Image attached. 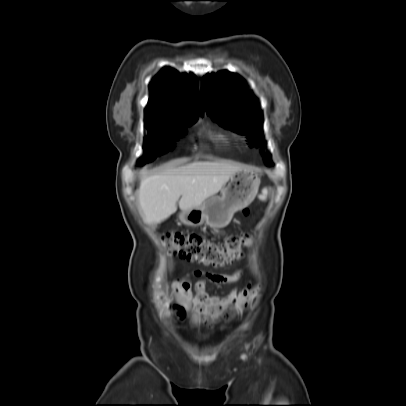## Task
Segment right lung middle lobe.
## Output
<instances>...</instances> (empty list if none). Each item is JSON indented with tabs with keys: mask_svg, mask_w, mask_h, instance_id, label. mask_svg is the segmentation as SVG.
<instances>
[{
	"mask_svg": "<svg viewBox=\"0 0 406 406\" xmlns=\"http://www.w3.org/2000/svg\"><path fill=\"white\" fill-rule=\"evenodd\" d=\"M196 119L189 122L146 121L148 136L145 139L144 154L138 162L143 165L154 160L157 156L173 150L175 141L186 133L185 127L190 126Z\"/></svg>",
	"mask_w": 406,
	"mask_h": 406,
	"instance_id": "obj_1",
	"label": "right lung middle lobe"
}]
</instances>
